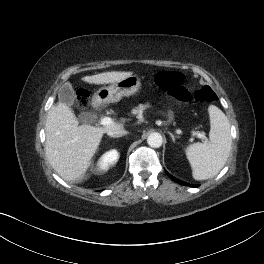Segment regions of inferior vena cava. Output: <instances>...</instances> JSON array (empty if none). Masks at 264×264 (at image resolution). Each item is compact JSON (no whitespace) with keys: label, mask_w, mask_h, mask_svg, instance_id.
<instances>
[{"label":"inferior vena cava","mask_w":264,"mask_h":264,"mask_svg":"<svg viewBox=\"0 0 264 264\" xmlns=\"http://www.w3.org/2000/svg\"><path fill=\"white\" fill-rule=\"evenodd\" d=\"M127 134V131L124 130L123 128L115 129V130H109L107 132V135L113 137V136H118V135H124Z\"/></svg>","instance_id":"602c4592"}]
</instances>
